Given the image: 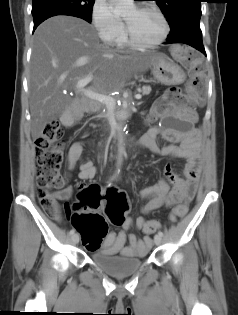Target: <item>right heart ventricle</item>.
Instances as JSON below:
<instances>
[{
  "label": "right heart ventricle",
  "mask_w": 238,
  "mask_h": 315,
  "mask_svg": "<svg viewBox=\"0 0 238 315\" xmlns=\"http://www.w3.org/2000/svg\"><path fill=\"white\" fill-rule=\"evenodd\" d=\"M113 43L119 47V48H124L128 45L125 39L124 31H122L118 37L113 41Z\"/></svg>",
  "instance_id": "1"
}]
</instances>
